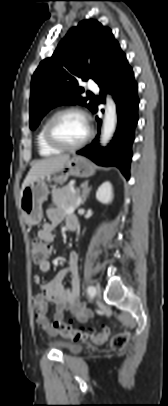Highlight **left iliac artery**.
Here are the masks:
<instances>
[{
  "label": "left iliac artery",
  "instance_id": "left-iliac-artery-1",
  "mask_svg": "<svg viewBox=\"0 0 168 406\" xmlns=\"http://www.w3.org/2000/svg\"><path fill=\"white\" fill-rule=\"evenodd\" d=\"M87 293L90 297H93L95 295V288L93 286H89L87 288Z\"/></svg>",
  "mask_w": 168,
  "mask_h": 406
}]
</instances>
